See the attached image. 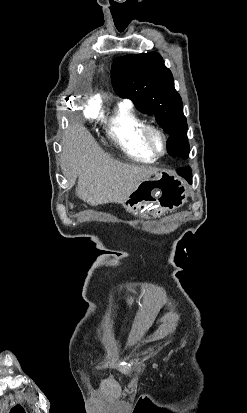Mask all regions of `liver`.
Here are the masks:
<instances>
[{
  "mask_svg": "<svg viewBox=\"0 0 247 413\" xmlns=\"http://www.w3.org/2000/svg\"><path fill=\"white\" fill-rule=\"evenodd\" d=\"M61 168L69 186H74L78 176L77 196L88 204L123 202L141 180L159 170L112 158L83 122H70L64 132Z\"/></svg>",
  "mask_w": 247,
  "mask_h": 413,
  "instance_id": "1",
  "label": "liver"
}]
</instances>
